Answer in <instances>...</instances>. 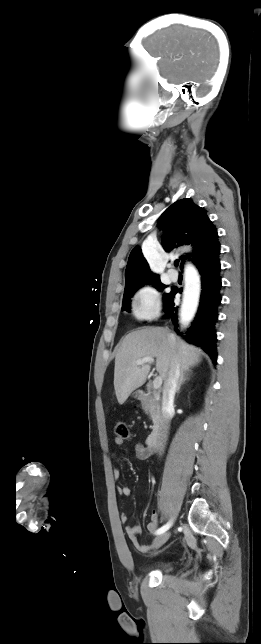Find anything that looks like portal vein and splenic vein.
Returning <instances> with one entry per match:
<instances>
[{"instance_id":"portal-vein-and-splenic-vein-1","label":"portal vein and splenic vein","mask_w":261,"mask_h":644,"mask_svg":"<svg viewBox=\"0 0 261 644\" xmlns=\"http://www.w3.org/2000/svg\"><path fill=\"white\" fill-rule=\"evenodd\" d=\"M153 362H154V359L152 357H144L142 359L137 360L136 364L137 365H142V364H145V363H153ZM161 385H162V378L160 376H157L153 381V388L157 389V388L161 387Z\"/></svg>"}]
</instances>
